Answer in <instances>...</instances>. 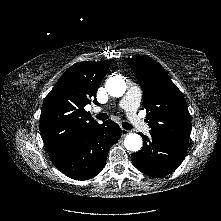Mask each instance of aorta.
Listing matches in <instances>:
<instances>
[{
	"label": "aorta",
	"mask_w": 221,
	"mask_h": 221,
	"mask_svg": "<svg viewBox=\"0 0 221 221\" xmlns=\"http://www.w3.org/2000/svg\"><path fill=\"white\" fill-rule=\"evenodd\" d=\"M106 90L112 97H120L125 93L126 83L120 76H113L106 81ZM126 149L137 152L142 148V138L136 133L128 134L124 139Z\"/></svg>",
	"instance_id": "aorta-1"
}]
</instances>
